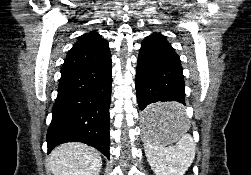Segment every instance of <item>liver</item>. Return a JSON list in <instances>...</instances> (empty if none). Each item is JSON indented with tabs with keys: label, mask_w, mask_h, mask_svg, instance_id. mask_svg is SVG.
Masks as SVG:
<instances>
[{
	"label": "liver",
	"mask_w": 251,
	"mask_h": 175,
	"mask_svg": "<svg viewBox=\"0 0 251 175\" xmlns=\"http://www.w3.org/2000/svg\"><path fill=\"white\" fill-rule=\"evenodd\" d=\"M102 159L99 151L85 143H62L48 157L53 175H99Z\"/></svg>",
	"instance_id": "6515ba94"
}]
</instances>
